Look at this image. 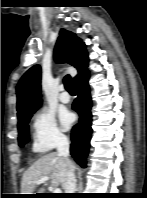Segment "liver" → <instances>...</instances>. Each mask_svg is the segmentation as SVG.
<instances>
[{
    "label": "liver",
    "instance_id": "6515ba94",
    "mask_svg": "<svg viewBox=\"0 0 147 198\" xmlns=\"http://www.w3.org/2000/svg\"><path fill=\"white\" fill-rule=\"evenodd\" d=\"M73 169L75 166L73 164ZM68 166L64 158L56 152H51L41 156L33 165L23 174L21 181V194H34L36 181L42 177L51 179L50 186L57 187L61 185L64 188ZM38 193H44L41 188Z\"/></svg>",
    "mask_w": 147,
    "mask_h": 198
}]
</instances>
